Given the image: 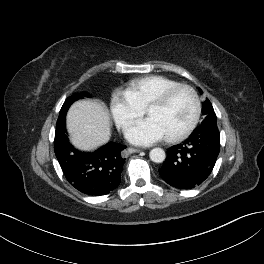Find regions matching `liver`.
<instances>
[{
    "instance_id": "liver-1",
    "label": "liver",
    "mask_w": 264,
    "mask_h": 264,
    "mask_svg": "<svg viewBox=\"0 0 264 264\" xmlns=\"http://www.w3.org/2000/svg\"><path fill=\"white\" fill-rule=\"evenodd\" d=\"M66 122L71 142L81 150H93L108 142L111 135L109 112L100 102H75L68 111Z\"/></svg>"
}]
</instances>
